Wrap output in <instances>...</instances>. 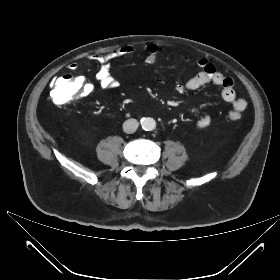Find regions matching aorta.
<instances>
[{
    "mask_svg": "<svg viewBox=\"0 0 280 280\" xmlns=\"http://www.w3.org/2000/svg\"><path fill=\"white\" fill-rule=\"evenodd\" d=\"M141 125L144 130L151 131V130L155 129L156 122L153 118L147 117V118H143L141 120Z\"/></svg>",
    "mask_w": 280,
    "mask_h": 280,
    "instance_id": "aorta-1",
    "label": "aorta"
}]
</instances>
